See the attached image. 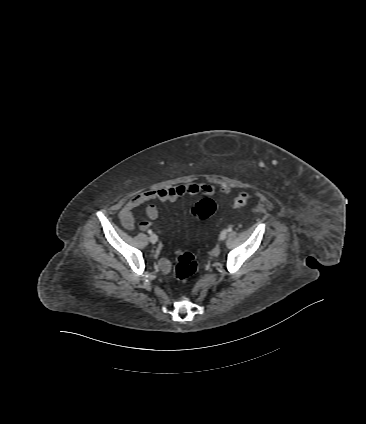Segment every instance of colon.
<instances>
[{
  "label": "colon",
  "mask_w": 366,
  "mask_h": 424,
  "mask_svg": "<svg viewBox=\"0 0 366 424\" xmlns=\"http://www.w3.org/2000/svg\"><path fill=\"white\" fill-rule=\"evenodd\" d=\"M249 199L250 194L248 192H241L233 201L232 208L235 210L240 209L247 204ZM215 209L214 201L210 198H205L192 207V214L198 219H207L215 212ZM196 271L197 263L194 254L189 249L180 252L174 271L176 279L181 283H185Z\"/></svg>",
  "instance_id": "obj_1"
}]
</instances>
